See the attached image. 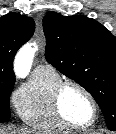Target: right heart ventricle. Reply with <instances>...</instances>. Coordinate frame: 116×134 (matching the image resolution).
<instances>
[{
    "label": "right heart ventricle",
    "instance_id": "obj_1",
    "mask_svg": "<svg viewBox=\"0 0 116 134\" xmlns=\"http://www.w3.org/2000/svg\"><path fill=\"white\" fill-rule=\"evenodd\" d=\"M61 76L53 68L35 70L27 89L16 102L19 117L23 122L39 130L61 132L68 130L56 116L53 104V90Z\"/></svg>",
    "mask_w": 116,
    "mask_h": 134
}]
</instances>
